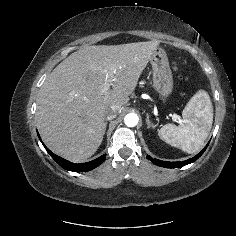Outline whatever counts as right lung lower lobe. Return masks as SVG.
I'll return each instance as SVG.
<instances>
[{"mask_svg":"<svg viewBox=\"0 0 236 236\" xmlns=\"http://www.w3.org/2000/svg\"><path fill=\"white\" fill-rule=\"evenodd\" d=\"M38 137L40 138L39 134ZM41 140V138H40ZM44 147L46 148L47 152L50 154V156L64 169L68 170V171H74V172H86L89 170H92L94 168H96L97 166H99L102 162L105 161V157L106 154L98 157L95 160H92L90 162H86V163H82V164H75L72 162H69L57 155H55L54 153H52L45 145Z\"/></svg>","mask_w":236,"mask_h":236,"instance_id":"1","label":"right lung lower lobe"}]
</instances>
